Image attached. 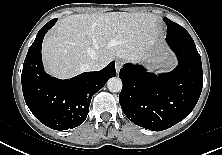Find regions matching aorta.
I'll return each mask as SVG.
<instances>
[{"label":"aorta","mask_w":222,"mask_h":155,"mask_svg":"<svg viewBox=\"0 0 222 155\" xmlns=\"http://www.w3.org/2000/svg\"><path fill=\"white\" fill-rule=\"evenodd\" d=\"M122 85V81L118 77H112L107 81V88L110 92H120Z\"/></svg>","instance_id":"1"}]
</instances>
